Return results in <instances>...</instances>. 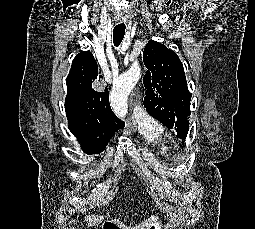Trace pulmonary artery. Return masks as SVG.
<instances>
[{"mask_svg": "<svg viewBox=\"0 0 255 229\" xmlns=\"http://www.w3.org/2000/svg\"><path fill=\"white\" fill-rule=\"evenodd\" d=\"M133 119L141 125L152 127L153 119L145 112L140 105H135L133 109Z\"/></svg>", "mask_w": 255, "mask_h": 229, "instance_id": "pulmonary-artery-1", "label": "pulmonary artery"}]
</instances>
